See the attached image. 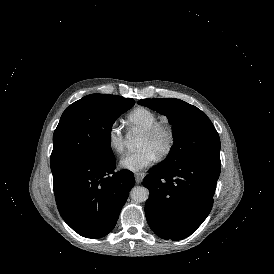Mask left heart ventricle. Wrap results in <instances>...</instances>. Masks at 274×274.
Masks as SVG:
<instances>
[{"label": "left heart ventricle", "mask_w": 274, "mask_h": 274, "mask_svg": "<svg viewBox=\"0 0 274 274\" xmlns=\"http://www.w3.org/2000/svg\"><path fill=\"white\" fill-rule=\"evenodd\" d=\"M166 143L167 137L164 134H159L155 138H148L142 135L138 143V148H149L157 156L159 152L166 146Z\"/></svg>", "instance_id": "left-heart-ventricle-1"}]
</instances>
